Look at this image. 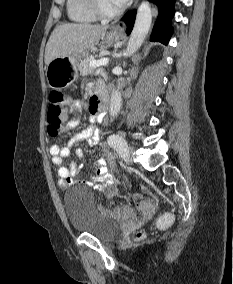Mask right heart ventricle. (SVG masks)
<instances>
[{
  "instance_id": "obj_1",
  "label": "right heart ventricle",
  "mask_w": 233,
  "mask_h": 284,
  "mask_svg": "<svg viewBox=\"0 0 233 284\" xmlns=\"http://www.w3.org/2000/svg\"><path fill=\"white\" fill-rule=\"evenodd\" d=\"M66 9L69 19L74 22L92 23L97 20L89 0H67Z\"/></svg>"
}]
</instances>
